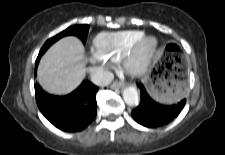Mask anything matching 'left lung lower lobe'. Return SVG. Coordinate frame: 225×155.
<instances>
[{
  "mask_svg": "<svg viewBox=\"0 0 225 155\" xmlns=\"http://www.w3.org/2000/svg\"><path fill=\"white\" fill-rule=\"evenodd\" d=\"M138 87L141 91V101L132 111V117L136 122L145 127L156 128L170 123L179 115L186 103L183 95L176 104H159L147 94L142 84H138Z\"/></svg>",
  "mask_w": 225,
  "mask_h": 155,
  "instance_id": "left-lung-lower-lobe-1",
  "label": "left lung lower lobe"
}]
</instances>
